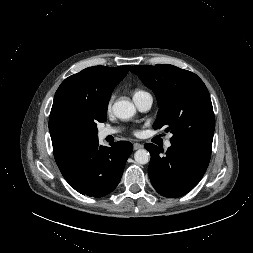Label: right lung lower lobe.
<instances>
[{"label":"right lung lower lobe","instance_id":"obj_1","mask_svg":"<svg viewBox=\"0 0 253 253\" xmlns=\"http://www.w3.org/2000/svg\"><path fill=\"white\" fill-rule=\"evenodd\" d=\"M132 151L133 145L128 141H118L111 147H105L95 139L59 169L76 191L100 198L116 188Z\"/></svg>","mask_w":253,"mask_h":253}]
</instances>
